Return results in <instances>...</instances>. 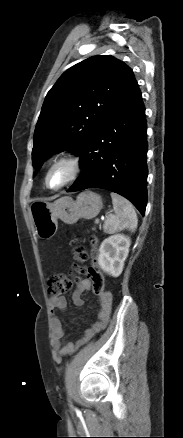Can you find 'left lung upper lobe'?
Wrapping results in <instances>:
<instances>
[{
  "instance_id": "obj_1",
  "label": "left lung upper lobe",
  "mask_w": 183,
  "mask_h": 438,
  "mask_svg": "<svg viewBox=\"0 0 183 438\" xmlns=\"http://www.w3.org/2000/svg\"><path fill=\"white\" fill-rule=\"evenodd\" d=\"M135 83L132 70L109 55L90 57L65 71L47 93L35 128L32 161L36 170L55 151L80 155Z\"/></svg>"
}]
</instances>
